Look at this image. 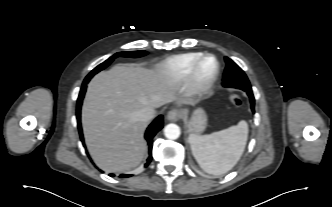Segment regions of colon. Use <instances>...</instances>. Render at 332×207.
<instances>
[{
    "label": "colon",
    "mask_w": 332,
    "mask_h": 207,
    "mask_svg": "<svg viewBox=\"0 0 332 207\" xmlns=\"http://www.w3.org/2000/svg\"><path fill=\"white\" fill-rule=\"evenodd\" d=\"M229 100L236 107H240L242 105V99L237 94H229Z\"/></svg>",
    "instance_id": "colon-1"
}]
</instances>
